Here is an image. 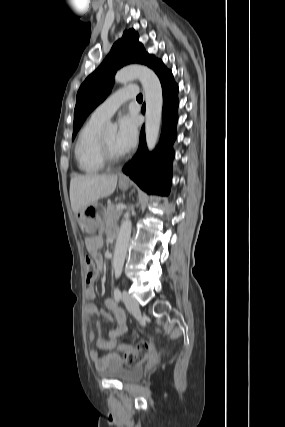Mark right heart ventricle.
<instances>
[{"label":"right heart ventricle","instance_id":"1","mask_svg":"<svg viewBox=\"0 0 285 427\" xmlns=\"http://www.w3.org/2000/svg\"><path fill=\"white\" fill-rule=\"evenodd\" d=\"M104 122L91 117L81 128L74 147L78 169L85 174H96L103 170L99 157L98 142Z\"/></svg>","mask_w":285,"mask_h":427}]
</instances>
